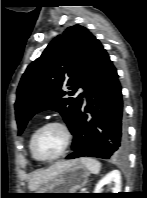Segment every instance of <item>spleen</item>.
I'll return each instance as SVG.
<instances>
[{"mask_svg":"<svg viewBox=\"0 0 147 198\" xmlns=\"http://www.w3.org/2000/svg\"><path fill=\"white\" fill-rule=\"evenodd\" d=\"M81 163L93 174H98L101 169V163L93 158H81Z\"/></svg>","mask_w":147,"mask_h":198,"instance_id":"1","label":"spleen"}]
</instances>
